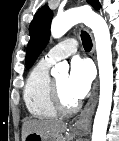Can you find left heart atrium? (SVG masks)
Masks as SVG:
<instances>
[{"mask_svg":"<svg viewBox=\"0 0 119 141\" xmlns=\"http://www.w3.org/2000/svg\"><path fill=\"white\" fill-rule=\"evenodd\" d=\"M92 80L93 70L90 63L80 58L72 60L67 90L76 101L83 99L87 95Z\"/></svg>","mask_w":119,"mask_h":141,"instance_id":"left-heart-atrium-1","label":"left heart atrium"}]
</instances>
